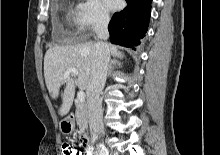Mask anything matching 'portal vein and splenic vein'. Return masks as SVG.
Returning a JSON list of instances; mask_svg holds the SVG:
<instances>
[{"instance_id": "portal-vein-and-splenic-vein-1", "label": "portal vein and splenic vein", "mask_w": 220, "mask_h": 155, "mask_svg": "<svg viewBox=\"0 0 220 155\" xmlns=\"http://www.w3.org/2000/svg\"><path fill=\"white\" fill-rule=\"evenodd\" d=\"M70 75H78V70L76 68H69L65 73H64V76H63V80H66L67 78H69ZM77 98L79 100V102H84L85 101V93L80 90L78 93H77Z\"/></svg>"}]
</instances>
